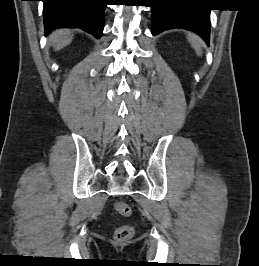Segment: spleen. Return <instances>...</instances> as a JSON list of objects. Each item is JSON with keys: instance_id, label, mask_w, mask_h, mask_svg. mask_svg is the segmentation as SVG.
I'll list each match as a JSON object with an SVG mask.
<instances>
[{"instance_id": "1", "label": "spleen", "mask_w": 259, "mask_h": 266, "mask_svg": "<svg viewBox=\"0 0 259 266\" xmlns=\"http://www.w3.org/2000/svg\"><path fill=\"white\" fill-rule=\"evenodd\" d=\"M188 40L191 43L192 47L195 49L198 55H201V40L196 35H188Z\"/></svg>"}]
</instances>
